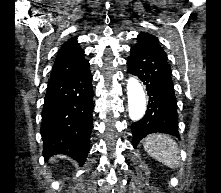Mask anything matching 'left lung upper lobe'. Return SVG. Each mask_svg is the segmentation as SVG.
<instances>
[{
    "mask_svg": "<svg viewBox=\"0 0 221 193\" xmlns=\"http://www.w3.org/2000/svg\"><path fill=\"white\" fill-rule=\"evenodd\" d=\"M137 41L148 43V44L156 47L161 52L165 53L163 51L162 47L160 46L158 39L155 36L151 35V34H147V33L142 32L138 35Z\"/></svg>",
    "mask_w": 221,
    "mask_h": 193,
    "instance_id": "left-lung-upper-lobe-1",
    "label": "left lung upper lobe"
}]
</instances>
